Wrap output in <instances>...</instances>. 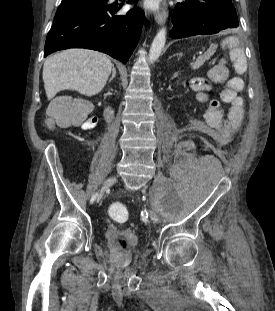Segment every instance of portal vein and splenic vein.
<instances>
[{
	"label": "portal vein and splenic vein",
	"instance_id": "18ae733b",
	"mask_svg": "<svg viewBox=\"0 0 275 311\" xmlns=\"http://www.w3.org/2000/svg\"><path fill=\"white\" fill-rule=\"evenodd\" d=\"M214 53V51L212 49H209L204 55H202L198 60L196 65L199 67L201 65H203V63L205 62L206 59H209L210 56Z\"/></svg>",
	"mask_w": 275,
	"mask_h": 311
}]
</instances>
